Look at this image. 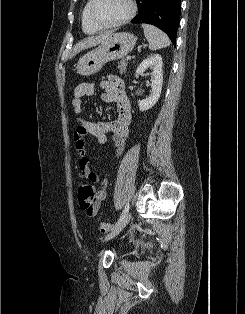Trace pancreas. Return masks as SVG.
<instances>
[{
    "instance_id": "cf45deb5",
    "label": "pancreas",
    "mask_w": 245,
    "mask_h": 314,
    "mask_svg": "<svg viewBox=\"0 0 245 314\" xmlns=\"http://www.w3.org/2000/svg\"><path fill=\"white\" fill-rule=\"evenodd\" d=\"M118 69L120 71V74H124L126 72L127 69V61L125 59H122L119 63H118Z\"/></svg>"
}]
</instances>
